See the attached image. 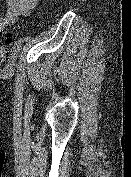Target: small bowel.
Segmentation results:
<instances>
[{"label":"small bowel","mask_w":131,"mask_h":177,"mask_svg":"<svg viewBox=\"0 0 131 177\" xmlns=\"http://www.w3.org/2000/svg\"><path fill=\"white\" fill-rule=\"evenodd\" d=\"M6 10L0 13V33L17 22L20 17H28L37 8L38 0H5Z\"/></svg>","instance_id":"small-bowel-1"}]
</instances>
